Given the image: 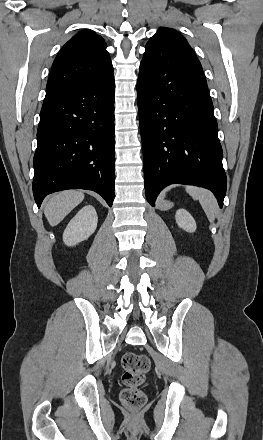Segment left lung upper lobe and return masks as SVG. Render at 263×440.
Wrapping results in <instances>:
<instances>
[{"label": "left lung upper lobe", "mask_w": 263, "mask_h": 440, "mask_svg": "<svg viewBox=\"0 0 263 440\" xmlns=\"http://www.w3.org/2000/svg\"><path fill=\"white\" fill-rule=\"evenodd\" d=\"M145 48L142 63L156 64L167 53H173L193 70L204 76L202 66L192 48L186 39L174 29L160 28L147 42Z\"/></svg>", "instance_id": "left-lung-upper-lobe-1"}]
</instances>
